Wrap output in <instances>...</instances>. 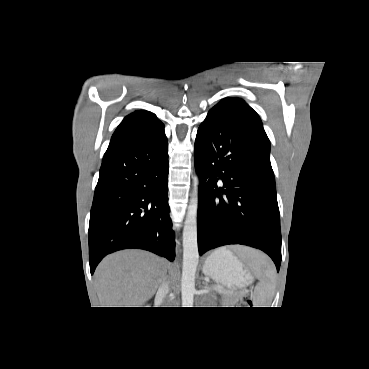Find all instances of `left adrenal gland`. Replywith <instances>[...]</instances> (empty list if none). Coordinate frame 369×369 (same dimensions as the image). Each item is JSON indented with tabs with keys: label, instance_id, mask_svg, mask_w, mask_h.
Returning <instances> with one entry per match:
<instances>
[{
	"label": "left adrenal gland",
	"instance_id": "a2214340",
	"mask_svg": "<svg viewBox=\"0 0 369 369\" xmlns=\"http://www.w3.org/2000/svg\"><path fill=\"white\" fill-rule=\"evenodd\" d=\"M203 285H205V287H207V284L205 282H203Z\"/></svg>",
	"mask_w": 369,
	"mask_h": 369
}]
</instances>
